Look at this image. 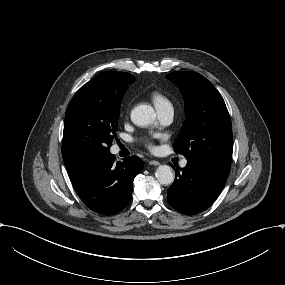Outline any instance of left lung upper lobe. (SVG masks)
Segmentation results:
<instances>
[{
  "label": "left lung upper lobe",
  "mask_w": 285,
  "mask_h": 285,
  "mask_svg": "<svg viewBox=\"0 0 285 285\" xmlns=\"http://www.w3.org/2000/svg\"><path fill=\"white\" fill-rule=\"evenodd\" d=\"M166 77L182 92L187 116L175 140V152L183 154L189 161L229 167L232 127L222 96L199 73L176 71Z\"/></svg>",
  "instance_id": "obj_1"
}]
</instances>
